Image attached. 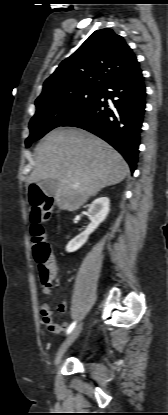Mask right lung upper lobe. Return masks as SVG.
Listing matches in <instances>:
<instances>
[{
	"mask_svg": "<svg viewBox=\"0 0 168 415\" xmlns=\"http://www.w3.org/2000/svg\"><path fill=\"white\" fill-rule=\"evenodd\" d=\"M138 64L123 37L105 28L93 32L44 82L38 105L84 89H103L111 80Z\"/></svg>",
	"mask_w": 168,
	"mask_h": 415,
	"instance_id": "obj_1",
	"label": "right lung upper lobe"
}]
</instances>
